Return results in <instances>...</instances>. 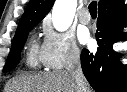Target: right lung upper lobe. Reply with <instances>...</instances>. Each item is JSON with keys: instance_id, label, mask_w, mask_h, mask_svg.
Here are the masks:
<instances>
[{"instance_id": "cb5924a9", "label": "right lung upper lobe", "mask_w": 127, "mask_h": 92, "mask_svg": "<svg viewBox=\"0 0 127 92\" xmlns=\"http://www.w3.org/2000/svg\"><path fill=\"white\" fill-rule=\"evenodd\" d=\"M55 0H31L22 15L17 34L24 28L37 25L50 11ZM124 4L123 0H100L98 4L99 10L113 9Z\"/></svg>"}]
</instances>
